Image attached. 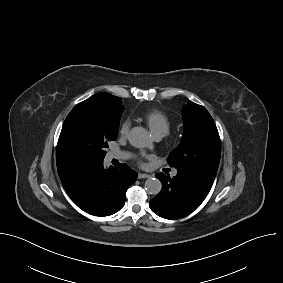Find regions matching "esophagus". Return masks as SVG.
Listing matches in <instances>:
<instances>
[{
  "mask_svg": "<svg viewBox=\"0 0 283 283\" xmlns=\"http://www.w3.org/2000/svg\"><path fill=\"white\" fill-rule=\"evenodd\" d=\"M149 177H150V175L145 174V173H139L138 174V179H144V178H149Z\"/></svg>",
  "mask_w": 283,
  "mask_h": 283,
  "instance_id": "obj_1",
  "label": "esophagus"
}]
</instances>
